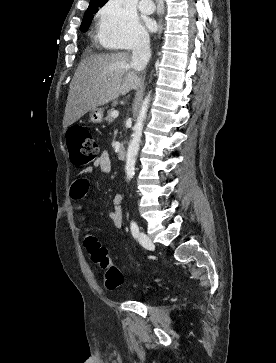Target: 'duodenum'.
<instances>
[{"label": "duodenum", "instance_id": "1", "mask_svg": "<svg viewBox=\"0 0 276 363\" xmlns=\"http://www.w3.org/2000/svg\"><path fill=\"white\" fill-rule=\"evenodd\" d=\"M117 157L119 160H123L126 157V149L124 145H120L118 150H117Z\"/></svg>", "mask_w": 276, "mask_h": 363}]
</instances>
